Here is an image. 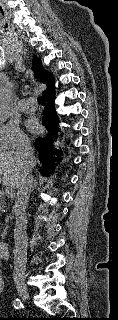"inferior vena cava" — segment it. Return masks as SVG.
Masks as SVG:
<instances>
[{
  "label": "inferior vena cava",
  "mask_w": 118,
  "mask_h": 320,
  "mask_svg": "<svg viewBox=\"0 0 118 320\" xmlns=\"http://www.w3.org/2000/svg\"><path fill=\"white\" fill-rule=\"evenodd\" d=\"M17 152L23 161L24 169L18 185L17 197L12 209L15 215V229H14V282H22L25 279L26 263H27V246L28 238L26 233L27 219L25 217V210L29 201L32 190V169L34 166V150L31 147L30 141L27 138H22L19 141Z\"/></svg>",
  "instance_id": "602c4592"
}]
</instances>
